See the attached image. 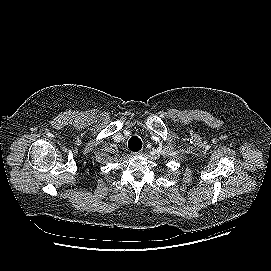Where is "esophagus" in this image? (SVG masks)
Wrapping results in <instances>:
<instances>
[{
	"instance_id": "obj_1",
	"label": "esophagus",
	"mask_w": 271,
	"mask_h": 271,
	"mask_svg": "<svg viewBox=\"0 0 271 271\" xmlns=\"http://www.w3.org/2000/svg\"><path fill=\"white\" fill-rule=\"evenodd\" d=\"M141 154V152L139 151V152H132V155H140Z\"/></svg>"
}]
</instances>
